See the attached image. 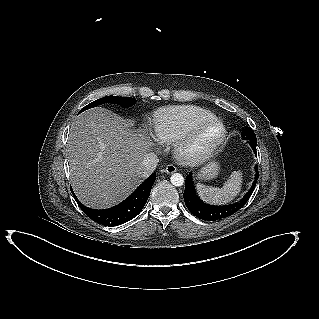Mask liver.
Wrapping results in <instances>:
<instances>
[{"label":"liver","mask_w":319,"mask_h":319,"mask_svg":"<svg viewBox=\"0 0 319 319\" xmlns=\"http://www.w3.org/2000/svg\"><path fill=\"white\" fill-rule=\"evenodd\" d=\"M152 145L148 136L110 110L83 112L71 124L66 147L78 199L95 209L124 200L148 177L141 163Z\"/></svg>","instance_id":"liver-1"}]
</instances>
